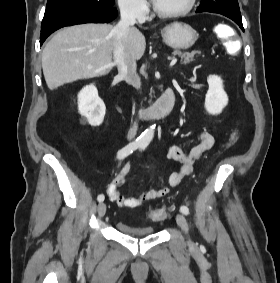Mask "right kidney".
Listing matches in <instances>:
<instances>
[{
  "mask_svg": "<svg viewBox=\"0 0 280 283\" xmlns=\"http://www.w3.org/2000/svg\"><path fill=\"white\" fill-rule=\"evenodd\" d=\"M78 111L83 116L82 124L87 122L91 126L102 124L106 107L98 96V91L94 84L87 85L78 94Z\"/></svg>",
  "mask_w": 280,
  "mask_h": 283,
  "instance_id": "obj_1",
  "label": "right kidney"
}]
</instances>
